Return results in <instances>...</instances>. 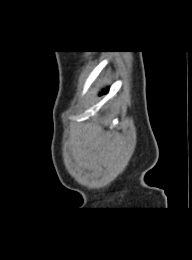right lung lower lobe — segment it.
Segmentation results:
<instances>
[{
  "label": "right lung lower lobe",
  "mask_w": 192,
  "mask_h": 260,
  "mask_svg": "<svg viewBox=\"0 0 192 260\" xmlns=\"http://www.w3.org/2000/svg\"><path fill=\"white\" fill-rule=\"evenodd\" d=\"M107 92H108V88L105 89L101 94H105V93H107Z\"/></svg>",
  "instance_id": "right-lung-lower-lobe-1"
}]
</instances>
